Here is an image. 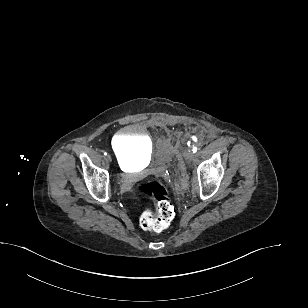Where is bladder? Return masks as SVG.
<instances>
[{
	"instance_id": "31cf9c89",
	"label": "bladder",
	"mask_w": 308,
	"mask_h": 308,
	"mask_svg": "<svg viewBox=\"0 0 308 308\" xmlns=\"http://www.w3.org/2000/svg\"><path fill=\"white\" fill-rule=\"evenodd\" d=\"M152 149L150 137L139 125L122 128L112 140V151L122 171L146 163Z\"/></svg>"
}]
</instances>
